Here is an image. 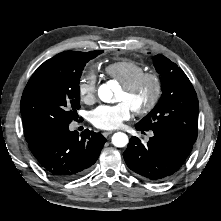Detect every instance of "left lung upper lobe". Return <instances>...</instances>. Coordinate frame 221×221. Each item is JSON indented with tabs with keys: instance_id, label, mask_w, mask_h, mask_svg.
<instances>
[{
	"instance_id": "5c2ea615",
	"label": "left lung upper lobe",
	"mask_w": 221,
	"mask_h": 221,
	"mask_svg": "<svg viewBox=\"0 0 221 221\" xmlns=\"http://www.w3.org/2000/svg\"><path fill=\"white\" fill-rule=\"evenodd\" d=\"M153 62L161 75L162 96L151 112L136 125L146 131L172 134L194 144L199 110L196 92L186 74L168 58L158 54Z\"/></svg>"
}]
</instances>
